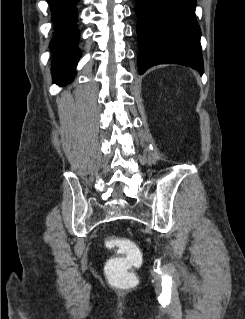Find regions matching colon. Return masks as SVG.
Masks as SVG:
<instances>
[{
  "mask_svg": "<svg viewBox=\"0 0 245 319\" xmlns=\"http://www.w3.org/2000/svg\"><path fill=\"white\" fill-rule=\"evenodd\" d=\"M107 249L114 250L123 258L107 265L108 275L116 281L125 282L129 266L139 262V255L132 241L122 237H109L104 241Z\"/></svg>",
  "mask_w": 245,
  "mask_h": 319,
  "instance_id": "obj_1",
  "label": "colon"
}]
</instances>
